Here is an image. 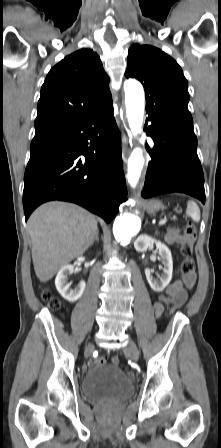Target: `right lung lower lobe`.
<instances>
[{"mask_svg": "<svg viewBox=\"0 0 221 448\" xmlns=\"http://www.w3.org/2000/svg\"><path fill=\"white\" fill-rule=\"evenodd\" d=\"M120 145L112 101L35 136L24 175L25 219L46 201L64 200L110 222L127 196Z\"/></svg>", "mask_w": 221, "mask_h": 448, "instance_id": "right-lung-lower-lobe-1", "label": "right lung lower lobe"}]
</instances>
